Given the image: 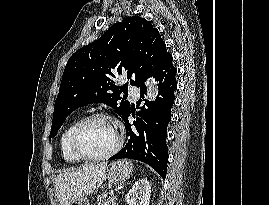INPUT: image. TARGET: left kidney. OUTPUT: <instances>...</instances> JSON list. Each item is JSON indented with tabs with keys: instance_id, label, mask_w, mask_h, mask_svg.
Masks as SVG:
<instances>
[{
	"instance_id": "obj_1",
	"label": "left kidney",
	"mask_w": 269,
	"mask_h": 205,
	"mask_svg": "<svg viewBox=\"0 0 269 205\" xmlns=\"http://www.w3.org/2000/svg\"><path fill=\"white\" fill-rule=\"evenodd\" d=\"M151 186L147 179H139L128 191L126 200L129 205H149Z\"/></svg>"
}]
</instances>
